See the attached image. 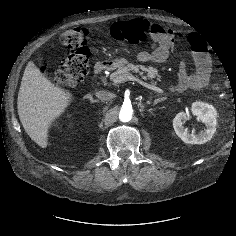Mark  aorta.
<instances>
[{
	"mask_svg": "<svg viewBox=\"0 0 236 236\" xmlns=\"http://www.w3.org/2000/svg\"><path fill=\"white\" fill-rule=\"evenodd\" d=\"M133 116V109L129 105H124L120 109L119 119L121 122H129Z\"/></svg>",
	"mask_w": 236,
	"mask_h": 236,
	"instance_id": "762f6f07",
	"label": "aorta"
}]
</instances>
